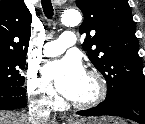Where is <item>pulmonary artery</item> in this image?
I'll return each mask as SVG.
<instances>
[{
    "label": "pulmonary artery",
    "instance_id": "e3ab8cb5",
    "mask_svg": "<svg viewBox=\"0 0 145 124\" xmlns=\"http://www.w3.org/2000/svg\"><path fill=\"white\" fill-rule=\"evenodd\" d=\"M76 42V38L73 32H63L58 40L47 42L44 45V55L54 57L61 55L66 49L73 46Z\"/></svg>",
    "mask_w": 145,
    "mask_h": 124
}]
</instances>
